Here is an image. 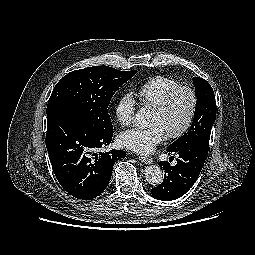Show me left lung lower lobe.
Here are the masks:
<instances>
[{"mask_svg":"<svg viewBox=\"0 0 255 255\" xmlns=\"http://www.w3.org/2000/svg\"><path fill=\"white\" fill-rule=\"evenodd\" d=\"M179 155L177 164L171 166L168 161H161L159 166L163 168L164 181L151 189L152 195L163 201L178 199L184 195L197 180L204 162L207 158L208 147L191 145L178 150H167Z\"/></svg>","mask_w":255,"mask_h":255,"instance_id":"obj_1","label":"left lung lower lobe"}]
</instances>
